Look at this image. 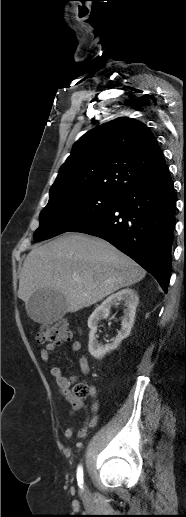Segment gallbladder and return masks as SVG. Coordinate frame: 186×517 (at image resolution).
Wrapping results in <instances>:
<instances>
[{
	"instance_id": "obj_1",
	"label": "gallbladder",
	"mask_w": 186,
	"mask_h": 517,
	"mask_svg": "<svg viewBox=\"0 0 186 517\" xmlns=\"http://www.w3.org/2000/svg\"><path fill=\"white\" fill-rule=\"evenodd\" d=\"M27 314L39 323H53L61 319L67 311L64 295L50 289L36 291L26 304Z\"/></svg>"
}]
</instances>
